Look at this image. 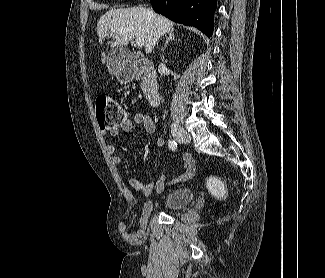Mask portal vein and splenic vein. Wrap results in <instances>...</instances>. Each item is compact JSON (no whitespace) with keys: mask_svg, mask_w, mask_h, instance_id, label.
<instances>
[{"mask_svg":"<svg viewBox=\"0 0 325 278\" xmlns=\"http://www.w3.org/2000/svg\"><path fill=\"white\" fill-rule=\"evenodd\" d=\"M135 43L138 47L144 46V40L142 38H136Z\"/></svg>","mask_w":325,"mask_h":278,"instance_id":"1","label":"portal vein and splenic vein"}]
</instances>
